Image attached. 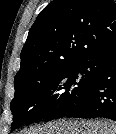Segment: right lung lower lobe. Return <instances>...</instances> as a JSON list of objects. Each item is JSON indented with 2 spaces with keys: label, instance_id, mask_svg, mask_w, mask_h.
Instances as JSON below:
<instances>
[{
  "label": "right lung lower lobe",
  "instance_id": "obj_1",
  "mask_svg": "<svg viewBox=\"0 0 116 134\" xmlns=\"http://www.w3.org/2000/svg\"><path fill=\"white\" fill-rule=\"evenodd\" d=\"M98 71L82 97L56 118H108L116 121V48L97 58ZM55 119V118H53Z\"/></svg>",
  "mask_w": 116,
  "mask_h": 134
}]
</instances>
